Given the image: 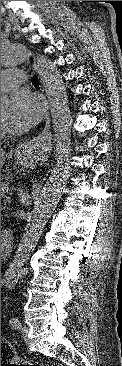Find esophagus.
<instances>
[{"mask_svg": "<svg viewBox=\"0 0 122 366\" xmlns=\"http://www.w3.org/2000/svg\"><path fill=\"white\" fill-rule=\"evenodd\" d=\"M30 61L31 62H33V59L32 58H30ZM46 122H47V125H46V127H45V129L42 131V133H41V137H48V136H50V130H49V113H47L46 114ZM49 141H47V140H42V142L40 143V145L39 146H45L46 145V143H48ZM32 149V147H30L29 149H26L25 150V152H27L28 150H31Z\"/></svg>", "mask_w": 122, "mask_h": 366, "instance_id": "obj_1", "label": "esophagus"}]
</instances>
